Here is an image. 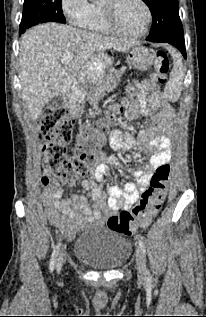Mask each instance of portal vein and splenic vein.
<instances>
[{"label":"portal vein and splenic vein","mask_w":206,"mask_h":317,"mask_svg":"<svg viewBox=\"0 0 206 317\" xmlns=\"http://www.w3.org/2000/svg\"><path fill=\"white\" fill-rule=\"evenodd\" d=\"M73 57H74L73 52H67V53H65V54L62 56L60 62H61V63H67V62H69L70 60H72Z\"/></svg>","instance_id":"obj_1"}]
</instances>
